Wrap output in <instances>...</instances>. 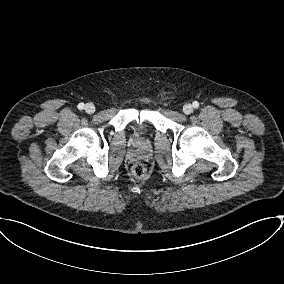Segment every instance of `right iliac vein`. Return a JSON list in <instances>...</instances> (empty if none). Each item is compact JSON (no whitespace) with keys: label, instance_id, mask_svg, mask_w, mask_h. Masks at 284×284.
Wrapping results in <instances>:
<instances>
[{"label":"right iliac vein","instance_id":"1","mask_svg":"<svg viewBox=\"0 0 284 284\" xmlns=\"http://www.w3.org/2000/svg\"><path fill=\"white\" fill-rule=\"evenodd\" d=\"M85 111H86V113H88V114L94 113V112H95V106H94V104H93V103H87V104L85 105Z\"/></svg>","mask_w":284,"mask_h":284}]
</instances>
